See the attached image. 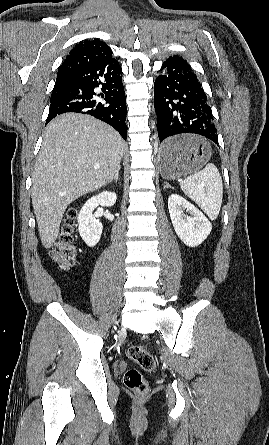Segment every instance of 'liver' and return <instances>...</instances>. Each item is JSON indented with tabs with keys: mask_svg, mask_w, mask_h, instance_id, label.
I'll use <instances>...</instances> for the list:
<instances>
[{
	"mask_svg": "<svg viewBox=\"0 0 269 445\" xmlns=\"http://www.w3.org/2000/svg\"><path fill=\"white\" fill-rule=\"evenodd\" d=\"M124 149L125 142L116 130L88 115L66 113L47 125L31 193L45 248L57 239L66 208L110 182Z\"/></svg>",
	"mask_w": 269,
	"mask_h": 445,
	"instance_id": "liver-1",
	"label": "liver"
}]
</instances>
